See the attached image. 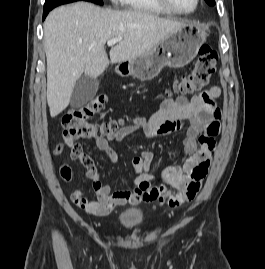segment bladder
<instances>
[{
  "mask_svg": "<svg viewBox=\"0 0 265 269\" xmlns=\"http://www.w3.org/2000/svg\"><path fill=\"white\" fill-rule=\"evenodd\" d=\"M145 215L142 208H129L118 215L117 223L121 228L132 229L143 223Z\"/></svg>",
  "mask_w": 265,
  "mask_h": 269,
  "instance_id": "obj_1",
  "label": "bladder"
}]
</instances>
